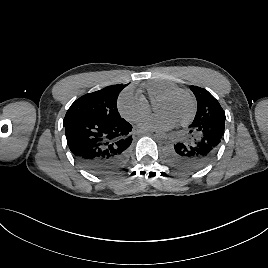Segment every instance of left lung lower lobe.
I'll list each match as a JSON object with an SVG mask.
<instances>
[{"label": "left lung lower lobe", "mask_w": 268, "mask_h": 268, "mask_svg": "<svg viewBox=\"0 0 268 268\" xmlns=\"http://www.w3.org/2000/svg\"><path fill=\"white\" fill-rule=\"evenodd\" d=\"M225 120H216L191 129L189 138L167 149V160L185 172L197 171L208 165L217 155L223 139Z\"/></svg>", "instance_id": "left-lung-lower-lobe-1"}]
</instances>
